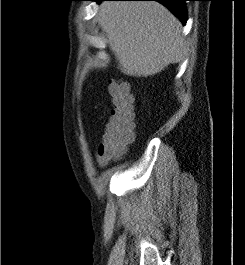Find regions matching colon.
<instances>
[{"mask_svg":"<svg viewBox=\"0 0 245 265\" xmlns=\"http://www.w3.org/2000/svg\"><path fill=\"white\" fill-rule=\"evenodd\" d=\"M108 91L113 108L97 151L98 159L104 162L121 157L134 139L133 97L128 85L113 79L109 82Z\"/></svg>","mask_w":245,"mask_h":265,"instance_id":"5ec220e1","label":"colon"}]
</instances>
